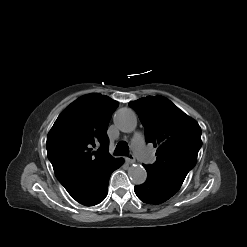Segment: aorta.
I'll use <instances>...</instances> for the list:
<instances>
[{
	"mask_svg": "<svg viewBox=\"0 0 247 247\" xmlns=\"http://www.w3.org/2000/svg\"><path fill=\"white\" fill-rule=\"evenodd\" d=\"M116 127L124 132H133L137 127V116L135 112L129 108L119 109L114 116ZM128 175L134 184H143L147 178V172L141 165H133L128 169Z\"/></svg>",
	"mask_w": 247,
	"mask_h": 247,
	"instance_id": "obj_1",
	"label": "aorta"
}]
</instances>
